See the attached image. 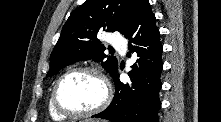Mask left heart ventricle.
<instances>
[{
  "instance_id": "1",
  "label": "left heart ventricle",
  "mask_w": 221,
  "mask_h": 122,
  "mask_svg": "<svg viewBox=\"0 0 221 122\" xmlns=\"http://www.w3.org/2000/svg\"><path fill=\"white\" fill-rule=\"evenodd\" d=\"M104 97V87L96 76L77 73L66 78L59 89L61 104L74 111H85L97 106Z\"/></svg>"
}]
</instances>
